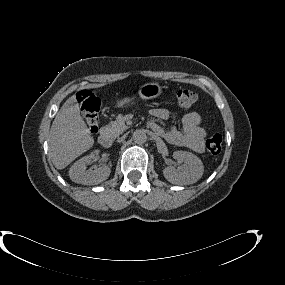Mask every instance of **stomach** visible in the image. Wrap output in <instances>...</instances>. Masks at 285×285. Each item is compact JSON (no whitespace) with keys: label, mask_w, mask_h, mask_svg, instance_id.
I'll return each mask as SVG.
<instances>
[{"label":"stomach","mask_w":285,"mask_h":285,"mask_svg":"<svg viewBox=\"0 0 285 285\" xmlns=\"http://www.w3.org/2000/svg\"><path fill=\"white\" fill-rule=\"evenodd\" d=\"M163 87L159 83H145L139 87L138 95L140 99L150 100L161 96ZM136 102L135 97H125L115 103L116 108L128 107Z\"/></svg>","instance_id":"stomach-1"}]
</instances>
